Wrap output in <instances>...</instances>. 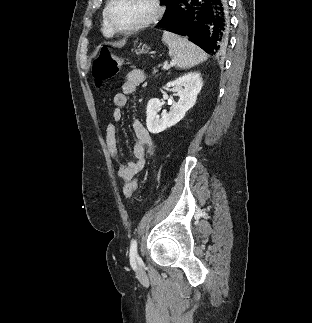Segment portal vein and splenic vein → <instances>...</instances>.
<instances>
[{
  "label": "portal vein and splenic vein",
  "instance_id": "portal-vein-and-splenic-vein-1",
  "mask_svg": "<svg viewBox=\"0 0 312 323\" xmlns=\"http://www.w3.org/2000/svg\"><path fill=\"white\" fill-rule=\"evenodd\" d=\"M169 66H174V60L173 62H170V64H168V62H164V66H163L164 70H168Z\"/></svg>",
  "mask_w": 312,
  "mask_h": 323
}]
</instances>
